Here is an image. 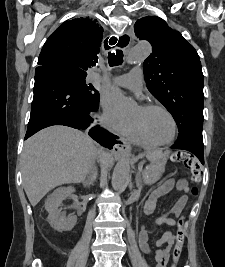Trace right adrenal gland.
<instances>
[{
  "instance_id": "1",
  "label": "right adrenal gland",
  "mask_w": 225,
  "mask_h": 267,
  "mask_svg": "<svg viewBox=\"0 0 225 267\" xmlns=\"http://www.w3.org/2000/svg\"><path fill=\"white\" fill-rule=\"evenodd\" d=\"M96 178H97V168L94 166L93 167V176L88 177L87 180L83 182L84 186L90 187L91 185L94 184Z\"/></svg>"
}]
</instances>
